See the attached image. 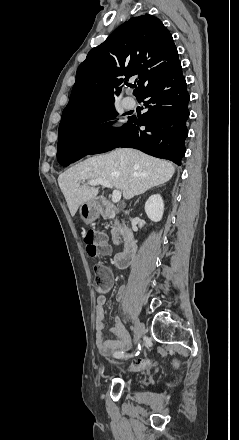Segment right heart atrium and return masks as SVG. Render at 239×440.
<instances>
[{
	"label": "right heart atrium",
	"mask_w": 239,
	"mask_h": 440,
	"mask_svg": "<svg viewBox=\"0 0 239 440\" xmlns=\"http://www.w3.org/2000/svg\"><path fill=\"white\" fill-rule=\"evenodd\" d=\"M111 129L108 121L94 124L89 131V139L94 143H103L111 139Z\"/></svg>",
	"instance_id": "right-heart-atrium-1"
}]
</instances>
